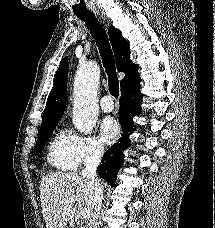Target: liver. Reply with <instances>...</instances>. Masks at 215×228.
I'll return each mask as SVG.
<instances>
[{"label":"liver","mask_w":215,"mask_h":228,"mask_svg":"<svg viewBox=\"0 0 215 228\" xmlns=\"http://www.w3.org/2000/svg\"><path fill=\"white\" fill-rule=\"evenodd\" d=\"M89 184L90 180L79 174L58 172L41 178L40 202L46 228H68V224L71 228H75L74 218L79 214L76 208H72L75 202L84 206V210L89 212L91 218L93 192ZM70 198H73L74 204L67 206L66 202Z\"/></svg>","instance_id":"liver-1"}]
</instances>
